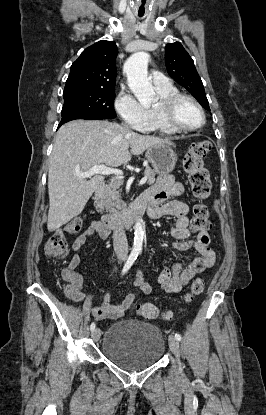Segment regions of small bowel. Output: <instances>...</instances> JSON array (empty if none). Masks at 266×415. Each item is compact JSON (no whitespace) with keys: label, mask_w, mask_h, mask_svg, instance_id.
I'll return each mask as SVG.
<instances>
[{"label":"small bowel","mask_w":266,"mask_h":415,"mask_svg":"<svg viewBox=\"0 0 266 415\" xmlns=\"http://www.w3.org/2000/svg\"><path fill=\"white\" fill-rule=\"evenodd\" d=\"M184 193L185 189L181 182L176 181L173 176H163L138 198L139 201L147 205L148 214L151 218L159 219L167 215L175 218L171 236L176 240L173 244L176 250L187 251L195 249L199 254L184 268H182L183 262H175L170 268H166L160 273L158 281L162 289L167 293L180 292L198 273L211 268L215 262V253L210 247V237L207 231L199 233L195 239H188L190 235L188 229V205L178 199L167 201L169 197L178 198L183 196ZM95 234L102 239H106L109 235V230L99 221H93L76 238L72 245L73 251H80L85 246L88 238ZM80 263L81 256L78 253L74 254L67 268L63 270V277L67 280V276H70V281L74 287L72 299L75 302L86 303L88 298L81 291L82 277L75 271ZM134 286L137 288V292L128 293L120 302H114L107 294H104L101 305L91 307L94 318L97 320L119 319L133 305L140 293L147 295L152 291L151 285L140 271L134 280Z\"/></svg>","instance_id":"small-bowel-1"}]
</instances>
